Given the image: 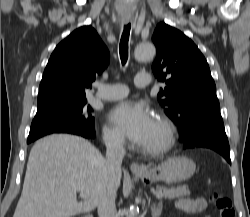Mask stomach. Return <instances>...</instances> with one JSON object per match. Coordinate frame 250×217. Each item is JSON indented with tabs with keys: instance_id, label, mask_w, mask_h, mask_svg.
Listing matches in <instances>:
<instances>
[{
	"instance_id": "stomach-1",
	"label": "stomach",
	"mask_w": 250,
	"mask_h": 217,
	"mask_svg": "<svg viewBox=\"0 0 250 217\" xmlns=\"http://www.w3.org/2000/svg\"><path fill=\"white\" fill-rule=\"evenodd\" d=\"M196 170L195 163L186 157H173L161 164L149 168L145 173L137 174L148 183L164 181L177 183L191 178Z\"/></svg>"
}]
</instances>
